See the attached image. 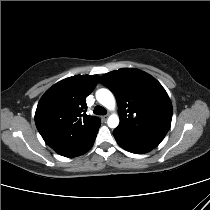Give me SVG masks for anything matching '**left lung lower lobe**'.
<instances>
[{
    "instance_id": "1",
    "label": "left lung lower lobe",
    "mask_w": 210,
    "mask_h": 210,
    "mask_svg": "<svg viewBox=\"0 0 210 210\" xmlns=\"http://www.w3.org/2000/svg\"><path fill=\"white\" fill-rule=\"evenodd\" d=\"M117 143L125 150L136 153V154H142L151 151L153 148L148 146H141V145H135L128 142H125L123 140L115 138Z\"/></svg>"
}]
</instances>
